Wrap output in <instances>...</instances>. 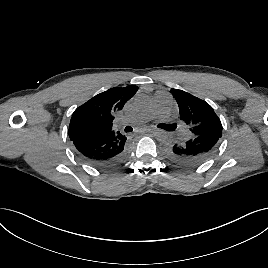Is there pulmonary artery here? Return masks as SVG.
Instances as JSON below:
<instances>
[{
  "mask_svg": "<svg viewBox=\"0 0 268 268\" xmlns=\"http://www.w3.org/2000/svg\"><path fill=\"white\" fill-rule=\"evenodd\" d=\"M169 104L170 96L164 92H157L153 96L151 105L137 114L134 120L124 118L122 122L144 123L156 117L165 118L169 112ZM184 135H187V133L185 132Z\"/></svg>",
  "mask_w": 268,
  "mask_h": 268,
  "instance_id": "e3ab8cb5",
  "label": "pulmonary artery"
}]
</instances>
